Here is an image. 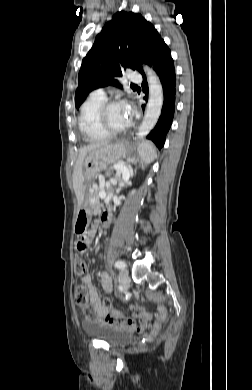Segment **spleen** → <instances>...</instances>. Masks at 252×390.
I'll return each instance as SVG.
<instances>
[{"instance_id":"spleen-1","label":"spleen","mask_w":252,"mask_h":390,"mask_svg":"<svg viewBox=\"0 0 252 390\" xmlns=\"http://www.w3.org/2000/svg\"><path fill=\"white\" fill-rule=\"evenodd\" d=\"M141 161L145 164H149L156 157V151L150 142H143L138 148Z\"/></svg>"}]
</instances>
